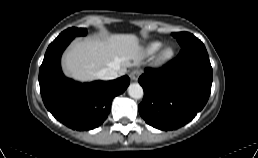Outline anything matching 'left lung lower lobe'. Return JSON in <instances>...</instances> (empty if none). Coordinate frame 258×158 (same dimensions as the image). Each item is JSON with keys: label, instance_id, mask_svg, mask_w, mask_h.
<instances>
[{"label": "left lung lower lobe", "instance_id": "1", "mask_svg": "<svg viewBox=\"0 0 258 158\" xmlns=\"http://www.w3.org/2000/svg\"><path fill=\"white\" fill-rule=\"evenodd\" d=\"M144 98L139 113L160 130L177 129L190 122L208 101L212 67L204 44L194 40L161 69L146 68L139 78Z\"/></svg>", "mask_w": 258, "mask_h": 158}]
</instances>
